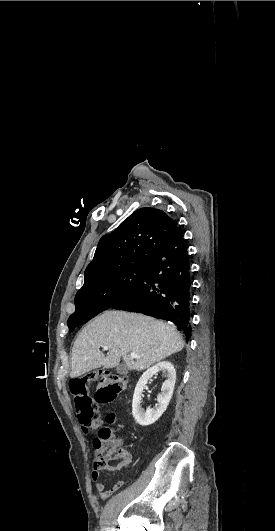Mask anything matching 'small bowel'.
<instances>
[{
  "label": "small bowel",
  "instance_id": "1",
  "mask_svg": "<svg viewBox=\"0 0 275 531\" xmlns=\"http://www.w3.org/2000/svg\"><path fill=\"white\" fill-rule=\"evenodd\" d=\"M100 443H101L100 440H94L93 441V446L95 448H98L100 446ZM119 458H121V459H131L132 460L131 454L129 452H127V451H124V450L120 452ZM111 470L114 471V470H118V469H111ZM100 475H101V472H98V473L94 472L93 475H92V478L96 481V480H98ZM96 489H97V492H98V498L101 501H105L107 498H109L113 494H115L119 488H115L113 485H108V484L103 483V482H98L96 484Z\"/></svg>",
  "mask_w": 275,
  "mask_h": 531
}]
</instances>
